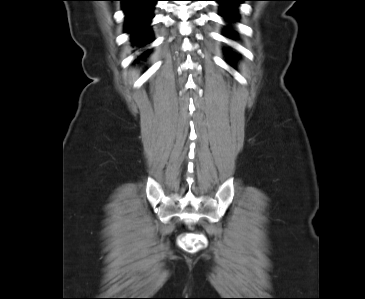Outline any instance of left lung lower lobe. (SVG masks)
<instances>
[{
	"mask_svg": "<svg viewBox=\"0 0 365 299\" xmlns=\"http://www.w3.org/2000/svg\"><path fill=\"white\" fill-rule=\"evenodd\" d=\"M215 1H218L222 5L221 6L222 16L229 20L234 21L237 17L236 5L238 3H241L242 1H247V0H215Z\"/></svg>",
	"mask_w": 365,
	"mask_h": 299,
	"instance_id": "1",
	"label": "left lung lower lobe"
}]
</instances>
